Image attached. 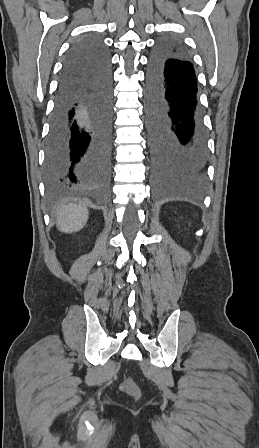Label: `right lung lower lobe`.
<instances>
[{
	"label": "right lung lower lobe",
	"instance_id": "obj_1",
	"mask_svg": "<svg viewBox=\"0 0 259 448\" xmlns=\"http://www.w3.org/2000/svg\"><path fill=\"white\" fill-rule=\"evenodd\" d=\"M112 158V72L97 36L76 41L63 65L46 141L52 186L107 184Z\"/></svg>",
	"mask_w": 259,
	"mask_h": 448
}]
</instances>
